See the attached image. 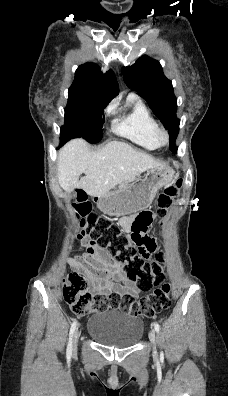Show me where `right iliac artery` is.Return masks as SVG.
Segmentation results:
<instances>
[{"mask_svg":"<svg viewBox=\"0 0 228 396\" xmlns=\"http://www.w3.org/2000/svg\"><path fill=\"white\" fill-rule=\"evenodd\" d=\"M76 325H77V322L74 321L72 323V325H71V328H70V338H69L67 351H66L67 358H71V355H72V337H73V334L75 332Z\"/></svg>","mask_w":228,"mask_h":396,"instance_id":"1","label":"right iliac artery"}]
</instances>
